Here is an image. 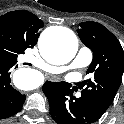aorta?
I'll use <instances>...</instances> for the list:
<instances>
[{
    "instance_id": "1",
    "label": "aorta",
    "mask_w": 124,
    "mask_h": 124,
    "mask_svg": "<svg viewBox=\"0 0 124 124\" xmlns=\"http://www.w3.org/2000/svg\"><path fill=\"white\" fill-rule=\"evenodd\" d=\"M39 50L43 58L54 65H63L70 62L78 50V41L75 34L69 29L56 31L46 30L39 40ZM32 74L27 69L15 72L14 82L21 89H33Z\"/></svg>"
}]
</instances>
